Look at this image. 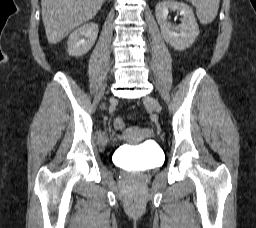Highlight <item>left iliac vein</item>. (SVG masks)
Returning a JSON list of instances; mask_svg holds the SVG:
<instances>
[{
    "label": "left iliac vein",
    "mask_w": 256,
    "mask_h": 228,
    "mask_svg": "<svg viewBox=\"0 0 256 228\" xmlns=\"http://www.w3.org/2000/svg\"><path fill=\"white\" fill-rule=\"evenodd\" d=\"M145 104L150 106L154 111L160 112L161 108L157 100L152 97H146L144 100Z\"/></svg>",
    "instance_id": "obj_1"
}]
</instances>
